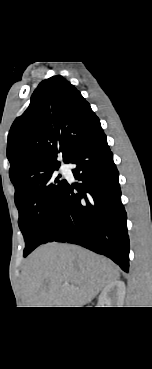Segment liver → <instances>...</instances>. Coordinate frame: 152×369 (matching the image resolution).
Here are the masks:
<instances>
[{"instance_id": "obj_1", "label": "liver", "mask_w": 152, "mask_h": 369, "mask_svg": "<svg viewBox=\"0 0 152 369\" xmlns=\"http://www.w3.org/2000/svg\"><path fill=\"white\" fill-rule=\"evenodd\" d=\"M26 307H83L119 279L108 259L79 246L49 243L37 248L23 269Z\"/></svg>"}]
</instances>
